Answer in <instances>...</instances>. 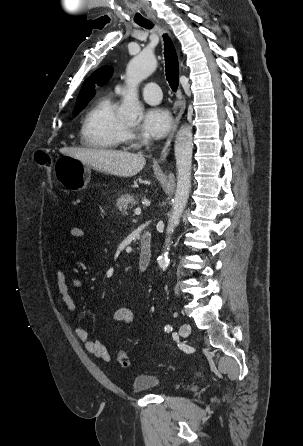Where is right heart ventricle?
<instances>
[{
    "label": "right heart ventricle",
    "mask_w": 303,
    "mask_h": 446,
    "mask_svg": "<svg viewBox=\"0 0 303 446\" xmlns=\"http://www.w3.org/2000/svg\"><path fill=\"white\" fill-rule=\"evenodd\" d=\"M126 127L116 113L115 94L99 97L85 113L80 129L82 145L93 149H115L125 139Z\"/></svg>",
    "instance_id": "e07e8e85"
}]
</instances>
